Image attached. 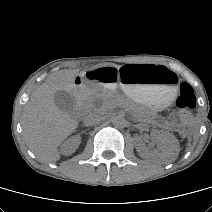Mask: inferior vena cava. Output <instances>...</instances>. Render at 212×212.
<instances>
[{
	"label": "inferior vena cava",
	"instance_id": "602c4592",
	"mask_svg": "<svg viewBox=\"0 0 212 212\" xmlns=\"http://www.w3.org/2000/svg\"><path fill=\"white\" fill-rule=\"evenodd\" d=\"M103 117L101 114L96 110H91L85 114L83 117V122L86 126H92L98 124L102 121Z\"/></svg>",
	"mask_w": 212,
	"mask_h": 212
}]
</instances>
